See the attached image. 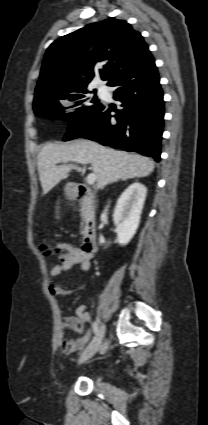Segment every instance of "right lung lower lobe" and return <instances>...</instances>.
<instances>
[{
	"mask_svg": "<svg viewBox=\"0 0 208 425\" xmlns=\"http://www.w3.org/2000/svg\"><path fill=\"white\" fill-rule=\"evenodd\" d=\"M108 85L117 87L114 99L122 102L124 109L112 115L113 109L101 104L71 119L64 140L83 137L104 146L138 152L159 162L164 101L151 53L121 70Z\"/></svg>",
	"mask_w": 208,
	"mask_h": 425,
	"instance_id": "obj_1",
	"label": "right lung lower lobe"
}]
</instances>
